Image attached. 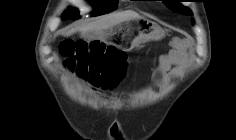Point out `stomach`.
<instances>
[{
    "instance_id": "obj_1",
    "label": "stomach",
    "mask_w": 236,
    "mask_h": 140,
    "mask_svg": "<svg viewBox=\"0 0 236 140\" xmlns=\"http://www.w3.org/2000/svg\"><path fill=\"white\" fill-rule=\"evenodd\" d=\"M93 30L112 31H89L90 41H104V44H114L125 51L164 36L158 24L144 17H130L122 22H113V25H93Z\"/></svg>"
}]
</instances>
